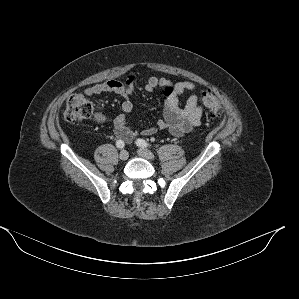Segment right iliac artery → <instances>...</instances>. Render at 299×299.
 <instances>
[{
    "label": "right iliac artery",
    "mask_w": 299,
    "mask_h": 299,
    "mask_svg": "<svg viewBox=\"0 0 299 299\" xmlns=\"http://www.w3.org/2000/svg\"><path fill=\"white\" fill-rule=\"evenodd\" d=\"M116 146H117V148L122 149L125 146V144L122 140H117Z\"/></svg>",
    "instance_id": "82829eb1"
}]
</instances>
